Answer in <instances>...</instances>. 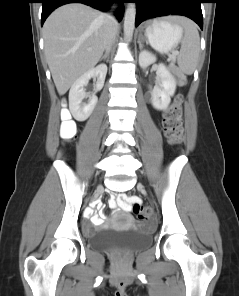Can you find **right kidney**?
Masks as SVG:
<instances>
[{
    "mask_svg": "<svg viewBox=\"0 0 239 296\" xmlns=\"http://www.w3.org/2000/svg\"><path fill=\"white\" fill-rule=\"evenodd\" d=\"M106 74L107 66L105 64H100L81 75L71 86L69 91V109L76 120L84 121L93 112L98 101L95 94L103 88ZM91 78H97V82L94 93L92 95H87L84 87ZM87 97H89L88 103H83V99Z\"/></svg>",
    "mask_w": 239,
    "mask_h": 296,
    "instance_id": "right-kidney-1",
    "label": "right kidney"
}]
</instances>
